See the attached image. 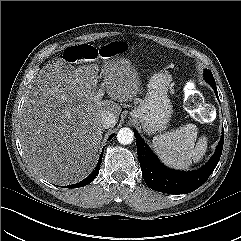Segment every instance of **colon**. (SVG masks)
I'll list each match as a JSON object with an SVG mask.
<instances>
[{"instance_id": "obj_1", "label": "colon", "mask_w": 241, "mask_h": 241, "mask_svg": "<svg viewBox=\"0 0 241 241\" xmlns=\"http://www.w3.org/2000/svg\"><path fill=\"white\" fill-rule=\"evenodd\" d=\"M124 50L125 46L120 42H112L98 48L85 44L67 48L63 58L69 63H84L100 58H108ZM185 107L192 116L199 120H212V108L204 104L203 97L194 87H190L186 92Z\"/></svg>"}]
</instances>
